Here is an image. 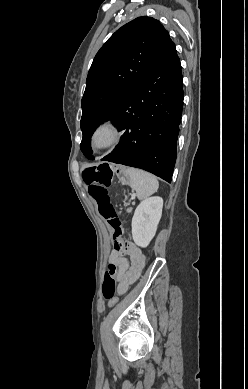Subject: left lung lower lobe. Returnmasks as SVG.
<instances>
[{
  "label": "left lung lower lobe",
  "instance_id": "left-lung-lower-lobe-1",
  "mask_svg": "<svg viewBox=\"0 0 248 389\" xmlns=\"http://www.w3.org/2000/svg\"><path fill=\"white\" fill-rule=\"evenodd\" d=\"M183 98L181 64L173 43L110 118L125 132L103 160L141 168L171 182Z\"/></svg>",
  "mask_w": 248,
  "mask_h": 389
}]
</instances>
